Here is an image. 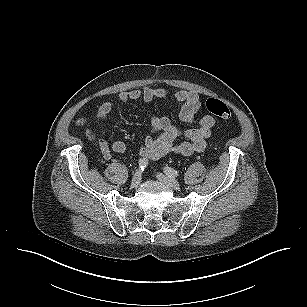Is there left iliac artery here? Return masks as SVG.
Masks as SVG:
<instances>
[{
	"mask_svg": "<svg viewBox=\"0 0 307 307\" xmlns=\"http://www.w3.org/2000/svg\"><path fill=\"white\" fill-rule=\"evenodd\" d=\"M164 172L170 178H175V177L179 176V172L174 170L173 168H170V167H165L164 168Z\"/></svg>",
	"mask_w": 307,
	"mask_h": 307,
	"instance_id": "1",
	"label": "left iliac artery"
}]
</instances>
